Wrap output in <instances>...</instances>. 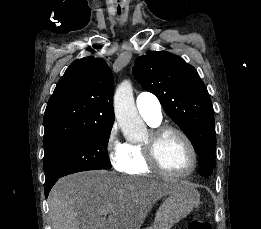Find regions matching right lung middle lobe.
<instances>
[{
  "label": "right lung middle lobe",
  "instance_id": "right-lung-middle-lobe-1",
  "mask_svg": "<svg viewBox=\"0 0 261 229\" xmlns=\"http://www.w3.org/2000/svg\"><path fill=\"white\" fill-rule=\"evenodd\" d=\"M112 126L94 125L68 140L44 148L45 184L80 171L111 168L107 144Z\"/></svg>",
  "mask_w": 261,
  "mask_h": 229
}]
</instances>
